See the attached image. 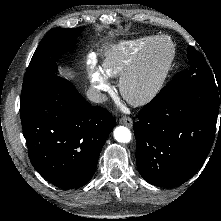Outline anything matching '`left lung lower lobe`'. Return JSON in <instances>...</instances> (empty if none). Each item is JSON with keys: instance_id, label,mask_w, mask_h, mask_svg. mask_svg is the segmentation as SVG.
<instances>
[{"instance_id": "left-lung-lower-lobe-1", "label": "left lung lower lobe", "mask_w": 221, "mask_h": 221, "mask_svg": "<svg viewBox=\"0 0 221 221\" xmlns=\"http://www.w3.org/2000/svg\"><path fill=\"white\" fill-rule=\"evenodd\" d=\"M219 104L221 84L193 76L170 81L143 107L133 130L137 168L148 183L174 187L193 177L212 147Z\"/></svg>"}]
</instances>
